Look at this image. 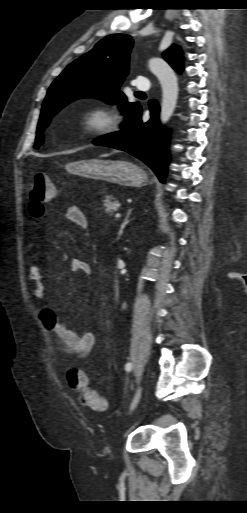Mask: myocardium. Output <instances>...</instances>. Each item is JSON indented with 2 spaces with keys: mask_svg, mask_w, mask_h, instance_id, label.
Instances as JSON below:
<instances>
[{
  "mask_svg": "<svg viewBox=\"0 0 247 513\" xmlns=\"http://www.w3.org/2000/svg\"><path fill=\"white\" fill-rule=\"evenodd\" d=\"M76 125L84 133L105 135L117 128V117L107 107L94 105L80 110L76 116Z\"/></svg>",
  "mask_w": 247,
  "mask_h": 513,
  "instance_id": "1",
  "label": "myocardium"
}]
</instances>
